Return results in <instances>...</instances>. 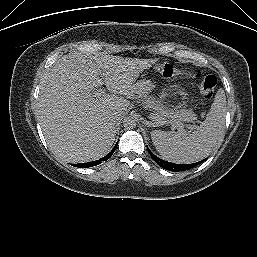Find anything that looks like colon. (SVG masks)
<instances>
[{"instance_id": "obj_1", "label": "colon", "mask_w": 257, "mask_h": 257, "mask_svg": "<svg viewBox=\"0 0 257 257\" xmlns=\"http://www.w3.org/2000/svg\"><path fill=\"white\" fill-rule=\"evenodd\" d=\"M154 71L166 79L183 75V71L172 64L159 63L154 66ZM191 77L200 78L198 73H191ZM217 79L213 75L204 76L199 84V91L203 99L210 100L214 94Z\"/></svg>"}]
</instances>
